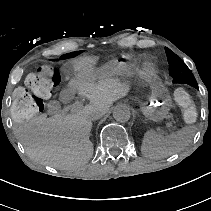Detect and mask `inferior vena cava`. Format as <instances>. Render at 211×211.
<instances>
[{
	"label": "inferior vena cava",
	"instance_id": "1",
	"mask_svg": "<svg viewBox=\"0 0 211 211\" xmlns=\"http://www.w3.org/2000/svg\"><path fill=\"white\" fill-rule=\"evenodd\" d=\"M83 111L88 116L89 120L99 119L103 114L101 110H96L91 105L85 106Z\"/></svg>",
	"mask_w": 211,
	"mask_h": 211
}]
</instances>
